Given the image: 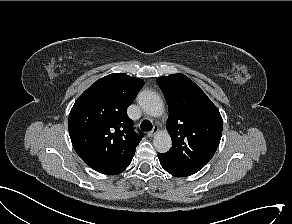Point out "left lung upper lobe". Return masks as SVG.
<instances>
[{"label": "left lung upper lobe", "mask_w": 292, "mask_h": 224, "mask_svg": "<svg viewBox=\"0 0 292 224\" xmlns=\"http://www.w3.org/2000/svg\"><path fill=\"white\" fill-rule=\"evenodd\" d=\"M156 82L168 103L166 127L172 138L171 149L158 156L194 174L217 150L223 129L222 117L200 87L185 75L159 77Z\"/></svg>", "instance_id": "obj_1"}]
</instances>
